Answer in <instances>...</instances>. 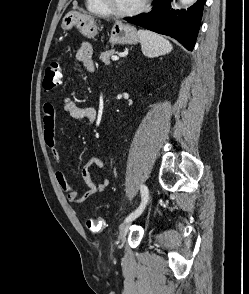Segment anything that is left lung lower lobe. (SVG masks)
I'll list each match as a JSON object with an SVG mask.
<instances>
[{
  "label": "left lung lower lobe",
  "instance_id": "0a47b994",
  "mask_svg": "<svg viewBox=\"0 0 249 294\" xmlns=\"http://www.w3.org/2000/svg\"><path fill=\"white\" fill-rule=\"evenodd\" d=\"M173 0H154L153 9L142 15L125 18L126 21L154 32L168 35L192 51L198 35L206 0H198L187 11L171 8Z\"/></svg>",
  "mask_w": 249,
  "mask_h": 294
}]
</instances>
